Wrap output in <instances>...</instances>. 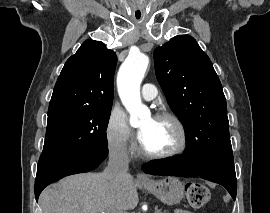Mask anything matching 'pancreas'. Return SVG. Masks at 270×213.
<instances>
[{
	"instance_id": "1",
	"label": "pancreas",
	"mask_w": 270,
	"mask_h": 213,
	"mask_svg": "<svg viewBox=\"0 0 270 213\" xmlns=\"http://www.w3.org/2000/svg\"><path fill=\"white\" fill-rule=\"evenodd\" d=\"M156 213H168V212H166V211L162 212L161 209H156Z\"/></svg>"
}]
</instances>
